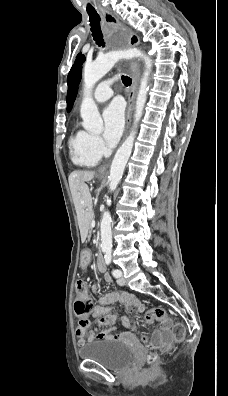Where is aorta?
I'll return each instance as SVG.
<instances>
[{
	"label": "aorta",
	"mask_w": 228,
	"mask_h": 396,
	"mask_svg": "<svg viewBox=\"0 0 228 396\" xmlns=\"http://www.w3.org/2000/svg\"><path fill=\"white\" fill-rule=\"evenodd\" d=\"M142 58L145 62V71L140 82L139 91L136 98L133 128L117 150L110 167L109 189L114 191L118 186L127 161L132 153L133 144L136 136V128L143 115L144 106L149 90L148 80L152 68V60L137 48H125L111 51L98 57L94 62L87 63L83 70L84 79V98L80 107V115L83 119L82 126L85 130L93 133H100L103 129V121L99 114L97 105L92 98L94 85L108 72L120 59ZM101 248L104 252L112 248L111 215L105 211L101 220Z\"/></svg>",
	"instance_id": "aorta-1"
}]
</instances>
